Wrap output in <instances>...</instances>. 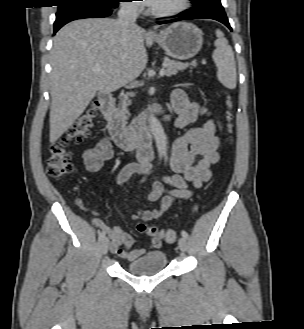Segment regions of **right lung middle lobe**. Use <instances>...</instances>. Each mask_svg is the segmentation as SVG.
Instances as JSON below:
<instances>
[{"mask_svg": "<svg viewBox=\"0 0 304 329\" xmlns=\"http://www.w3.org/2000/svg\"><path fill=\"white\" fill-rule=\"evenodd\" d=\"M58 11L77 5H95V6H111L118 2V0H58Z\"/></svg>", "mask_w": 304, "mask_h": 329, "instance_id": "dd1d6c3e", "label": "right lung middle lobe"}]
</instances>
